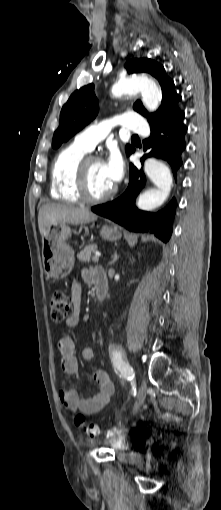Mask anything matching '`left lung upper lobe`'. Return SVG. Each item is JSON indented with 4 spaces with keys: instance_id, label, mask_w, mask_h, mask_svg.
<instances>
[{
    "instance_id": "5c2ea615",
    "label": "left lung upper lobe",
    "mask_w": 221,
    "mask_h": 510,
    "mask_svg": "<svg viewBox=\"0 0 221 510\" xmlns=\"http://www.w3.org/2000/svg\"><path fill=\"white\" fill-rule=\"evenodd\" d=\"M125 67L128 73H149L161 85L162 103L155 113L148 114L140 101H137L133 106L135 111L147 117L148 122L159 120L170 113L181 112L178 107L181 97L175 92L174 82L167 77L163 66L151 59L141 58L126 62ZM98 109L99 102L95 96L93 84L75 91L61 110L60 124L54 133L52 147L58 148L89 124L96 117ZM126 151L129 155L134 151V147L127 145Z\"/></svg>"
}]
</instances>
